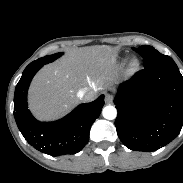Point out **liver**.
<instances>
[{"instance_id":"obj_1","label":"liver","mask_w":183,"mask_h":183,"mask_svg":"<svg viewBox=\"0 0 183 183\" xmlns=\"http://www.w3.org/2000/svg\"><path fill=\"white\" fill-rule=\"evenodd\" d=\"M116 55L111 48L84 47L46 65L34 77L29 90V107L39 119H54L77 102L81 89H102L112 73Z\"/></svg>"}]
</instances>
